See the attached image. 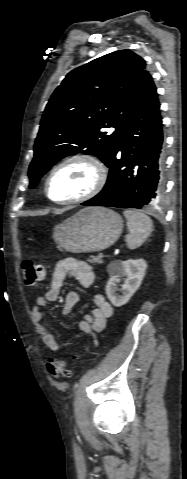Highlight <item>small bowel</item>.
Instances as JSON below:
<instances>
[{
  "instance_id": "c3829d8e",
  "label": "small bowel",
  "mask_w": 187,
  "mask_h": 479,
  "mask_svg": "<svg viewBox=\"0 0 187 479\" xmlns=\"http://www.w3.org/2000/svg\"><path fill=\"white\" fill-rule=\"evenodd\" d=\"M67 276L73 277L82 288H89L94 281V272L86 262L75 258L62 259L55 266L48 290L45 294L35 298L31 308V316L38 325L42 342L52 352H58L60 345L54 334L44 325L42 309L58 299ZM79 300V292H68L63 304V314L70 315ZM93 302L95 305L93 311L84 315L78 322L79 329L91 337L105 328L108 319L113 314L111 304L102 294H95ZM94 343L96 342L94 341Z\"/></svg>"
}]
</instances>
